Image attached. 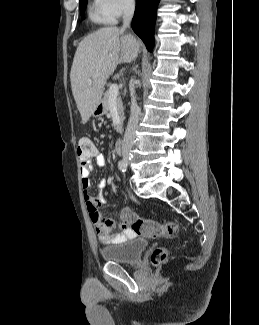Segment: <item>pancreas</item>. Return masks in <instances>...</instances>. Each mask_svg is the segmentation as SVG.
I'll list each match as a JSON object with an SVG mask.
<instances>
[{
	"instance_id": "pancreas-1",
	"label": "pancreas",
	"mask_w": 259,
	"mask_h": 325,
	"mask_svg": "<svg viewBox=\"0 0 259 325\" xmlns=\"http://www.w3.org/2000/svg\"><path fill=\"white\" fill-rule=\"evenodd\" d=\"M116 107H117V111H118V114H119V117H120V123L119 125L116 127V131L118 133H122V126H123V121H124V108H123V103H122V99L121 97L117 96L116 97ZM104 104H105V107H106V112L109 111V104H110V93H109V90H107L104 94Z\"/></svg>"
}]
</instances>
